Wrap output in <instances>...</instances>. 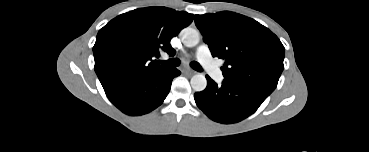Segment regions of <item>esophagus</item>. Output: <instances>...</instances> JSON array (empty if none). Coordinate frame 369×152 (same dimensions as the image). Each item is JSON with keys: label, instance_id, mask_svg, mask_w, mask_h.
Instances as JSON below:
<instances>
[{"label": "esophagus", "instance_id": "esophagus-1", "mask_svg": "<svg viewBox=\"0 0 369 152\" xmlns=\"http://www.w3.org/2000/svg\"><path fill=\"white\" fill-rule=\"evenodd\" d=\"M183 73H184L185 75L191 76V75L196 74V71H194V70H192V69H189V68H186V69H184V70H183Z\"/></svg>", "mask_w": 369, "mask_h": 152}]
</instances>
